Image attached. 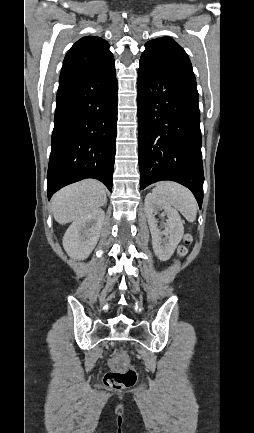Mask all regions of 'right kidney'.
Segmentation results:
<instances>
[{
  "label": "right kidney",
  "instance_id": "ca27d5eb",
  "mask_svg": "<svg viewBox=\"0 0 254 433\" xmlns=\"http://www.w3.org/2000/svg\"><path fill=\"white\" fill-rule=\"evenodd\" d=\"M104 218V210L98 208L70 225L63 237V247L71 258L83 260L90 255L99 240Z\"/></svg>",
  "mask_w": 254,
  "mask_h": 433
}]
</instances>
